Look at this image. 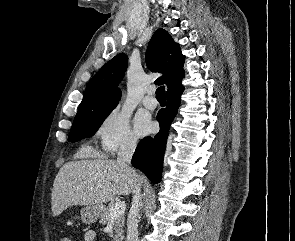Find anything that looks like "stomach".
Masks as SVG:
<instances>
[{
	"label": "stomach",
	"instance_id": "obj_1",
	"mask_svg": "<svg viewBox=\"0 0 295 241\" xmlns=\"http://www.w3.org/2000/svg\"><path fill=\"white\" fill-rule=\"evenodd\" d=\"M104 210L102 204H93L83 207L80 211L81 220L83 223L91 224L98 220L101 217V214Z\"/></svg>",
	"mask_w": 295,
	"mask_h": 241
}]
</instances>
